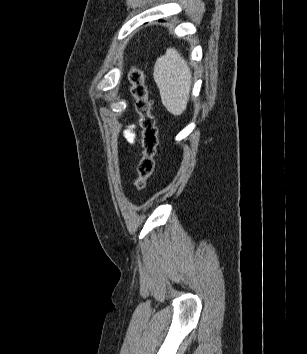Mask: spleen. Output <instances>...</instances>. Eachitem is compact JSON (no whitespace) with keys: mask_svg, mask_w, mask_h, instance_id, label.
<instances>
[{"mask_svg":"<svg viewBox=\"0 0 307 354\" xmlns=\"http://www.w3.org/2000/svg\"><path fill=\"white\" fill-rule=\"evenodd\" d=\"M153 76L163 105L173 115H181L188 103L192 79L187 62L175 48H168L156 60Z\"/></svg>","mask_w":307,"mask_h":354,"instance_id":"obj_1","label":"spleen"}]
</instances>
